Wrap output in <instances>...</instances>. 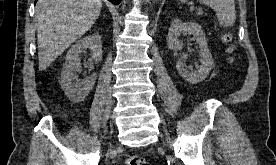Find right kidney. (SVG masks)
I'll return each mask as SVG.
<instances>
[{"label":"right kidney","mask_w":276,"mask_h":165,"mask_svg":"<svg viewBox=\"0 0 276 165\" xmlns=\"http://www.w3.org/2000/svg\"><path fill=\"white\" fill-rule=\"evenodd\" d=\"M89 49L92 59L98 63L102 59V43L98 34L89 35L77 41L66 55V62L63 65L61 73V87L67 97L74 103L83 101L92 90L96 74L80 81L77 79V73L81 69L79 55ZM75 80V82H73Z\"/></svg>","instance_id":"1"}]
</instances>
